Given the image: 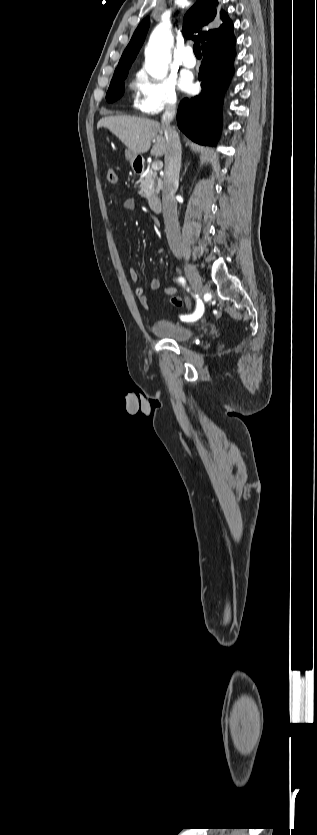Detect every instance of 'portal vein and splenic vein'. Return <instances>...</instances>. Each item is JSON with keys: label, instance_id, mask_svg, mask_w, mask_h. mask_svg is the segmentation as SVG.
I'll return each instance as SVG.
<instances>
[{"label": "portal vein and splenic vein", "instance_id": "18ae733b", "mask_svg": "<svg viewBox=\"0 0 317 835\" xmlns=\"http://www.w3.org/2000/svg\"><path fill=\"white\" fill-rule=\"evenodd\" d=\"M162 166H163V162L160 161V160L155 161L154 163H152V169L153 170H159V169L162 168Z\"/></svg>", "mask_w": 317, "mask_h": 835}]
</instances>
